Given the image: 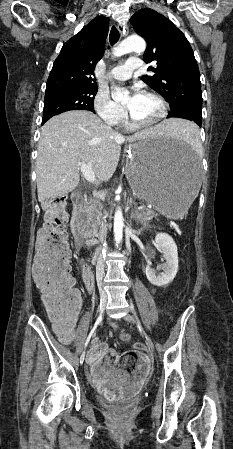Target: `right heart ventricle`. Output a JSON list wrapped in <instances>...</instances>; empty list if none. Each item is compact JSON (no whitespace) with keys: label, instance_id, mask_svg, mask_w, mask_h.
<instances>
[{"label":"right heart ventricle","instance_id":"right-heart-ventricle-1","mask_svg":"<svg viewBox=\"0 0 233 449\" xmlns=\"http://www.w3.org/2000/svg\"><path fill=\"white\" fill-rule=\"evenodd\" d=\"M119 124H120L121 126L127 128V129H130V128H131L130 125H129V123L126 121L125 118H124Z\"/></svg>","mask_w":233,"mask_h":449}]
</instances>
